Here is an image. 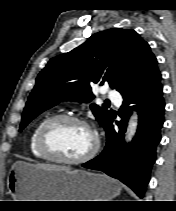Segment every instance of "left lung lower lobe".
Wrapping results in <instances>:
<instances>
[{
    "label": "left lung lower lobe",
    "mask_w": 176,
    "mask_h": 211,
    "mask_svg": "<svg viewBox=\"0 0 176 211\" xmlns=\"http://www.w3.org/2000/svg\"><path fill=\"white\" fill-rule=\"evenodd\" d=\"M161 74L147 84L127 93L120 111L121 121L113 126V118L105 127L107 143L103 152L82 166L100 170L128 185L140 198L150 179V170L156 157V146L160 142L165 102L163 99ZM132 104H136L132 106ZM132 110L139 115L138 130L131 143L123 142L128 117Z\"/></svg>",
    "instance_id": "0a47b994"
}]
</instances>
